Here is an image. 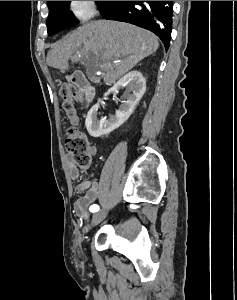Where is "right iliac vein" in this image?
Here are the masks:
<instances>
[{
	"instance_id": "right-iliac-vein-1",
	"label": "right iliac vein",
	"mask_w": 237,
	"mask_h": 300,
	"mask_svg": "<svg viewBox=\"0 0 237 300\" xmlns=\"http://www.w3.org/2000/svg\"><path fill=\"white\" fill-rule=\"evenodd\" d=\"M106 216H107L106 211H101V212L94 214L93 219H92L93 225L100 223L102 220H104L106 218Z\"/></svg>"
}]
</instances>
